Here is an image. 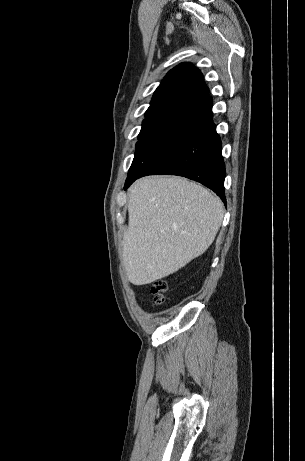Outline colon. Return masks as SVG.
Here are the masks:
<instances>
[{
	"label": "colon",
	"instance_id": "obj_1",
	"mask_svg": "<svg viewBox=\"0 0 305 461\" xmlns=\"http://www.w3.org/2000/svg\"><path fill=\"white\" fill-rule=\"evenodd\" d=\"M150 291L154 297V302L161 305L165 302L167 283L164 280H155L150 284Z\"/></svg>",
	"mask_w": 305,
	"mask_h": 461
}]
</instances>
